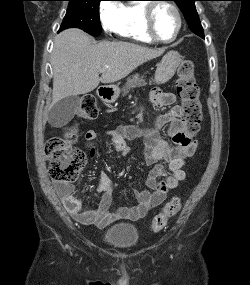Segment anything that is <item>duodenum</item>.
Listing matches in <instances>:
<instances>
[{"instance_id":"1","label":"duodenum","mask_w":250,"mask_h":285,"mask_svg":"<svg viewBox=\"0 0 250 285\" xmlns=\"http://www.w3.org/2000/svg\"><path fill=\"white\" fill-rule=\"evenodd\" d=\"M98 94L99 97L103 100V101H110V99L112 98V91L111 89L107 88V87H100L98 89Z\"/></svg>"}]
</instances>
